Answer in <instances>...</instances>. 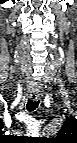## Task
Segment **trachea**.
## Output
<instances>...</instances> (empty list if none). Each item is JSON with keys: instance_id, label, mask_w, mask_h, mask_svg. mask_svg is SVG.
<instances>
[{"instance_id": "1", "label": "trachea", "mask_w": 77, "mask_h": 143, "mask_svg": "<svg viewBox=\"0 0 77 143\" xmlns=\"http://www.w3.org/2000/svg\"><path fill=\"white\" fill-rule=\"evenodd\" d=\"M38 104H39V101H33L28 99L27 106H26L27 110L30 112L34 111L38 107Z\"/></svg>"}]
</instances>
